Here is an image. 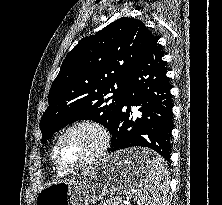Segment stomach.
<instances>
[{"label":"stomach","mask_w":222,"mask_h":205,"mask_svg":"<svg viewBox=\"0 0 222 205\" xmlns=\"http://www.w3.org/2000/svg\"><path fill=\"white\" fill-rule=\"evenodd\" d=\"M148 149L123 150L97 161L77 177L45 186L36 205H89L106 194L122 195L140 187L147 168Z\"/></svg>","instance_id":"1"}]
</instances>
